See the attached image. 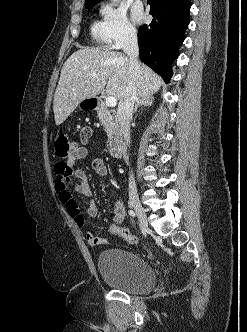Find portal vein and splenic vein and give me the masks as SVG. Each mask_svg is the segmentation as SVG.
Segmentation results:
<instances>
[{
	"mask_svg": "<svg viewBox=\"0 0 247 332\" xmlns=\"http://www.w3.org/2000/svg\"><path fill=\"white\" fill-rule=\"evenodd\" d=\"M105 103L108 107H115L117 104V99L114 96H108Z\"/></svg>",
	"mask_w": 247,
	"mask_h": 332,
	"instance_id": "obj_1",
	"label": "portal vein and splenic vein"
}]
</instances>
